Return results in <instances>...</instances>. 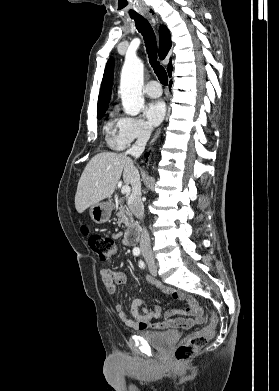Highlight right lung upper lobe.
Here are the masks:
<instances>
[{"mask_svg":"<svg viewBox=\"0 0 279 391\" xmlns=\"http://www.w3.org/2000/svg\"><path fill=\"white\" fill-rule=\"evenodd\" d=\"M159 57L161 59H164L166 55L168 54L170 48H171V37L170 32L166 26H160L159 28ZM113 68H114V60L113 58H110L107 62L101 90L99 94L98 99V107L97 111H101L103 109L107 108V105L110 101L111 96V87H112V81H113ZM172 71V65L171 63L168 66V73L169 76L171 75Z\"/></svg>","mask_w":279,"mask_h":391,"instance_id":"1","label":"right lung upper lobe"}]
</instances>
